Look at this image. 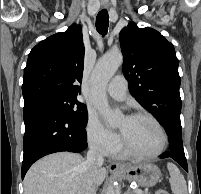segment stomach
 I'll list each match as a JSON object with an SVG mask.
<instances>
[{
	"instance_id": "1",
	"label": "stomach",
	"mask_w": 201,
	"mask_h": 194,
	"mask_svg": "<svg viewBox=\"0 0 201 194\" xmlns=\"http://www.w3.org/2000/svg\"><path fill=\"white\" fill-rule=\"evenodd\" d=\"M120 175L124 179L137 182L143 187H152L158 182L161 172L156 165L143 162L124 165L120 170Z\"/></svg>"
}]
</instances>
